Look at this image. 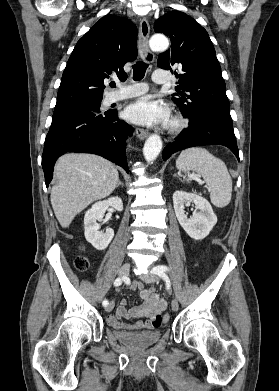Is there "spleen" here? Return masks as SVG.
<instances>
[{
  "mask_svg": "<svg viewBox=\"0 0 279 391\" xmlns=\"http://www.w3.org/2000/svg\"><path fill=\"white\" fill-rule=\"evenodd\" d=\"M179 172L194 171L204 178L213 205L227 206L232 196V179L225 163L202 147H191L181 152L176 160ZM189 181V180H188Z\"/></svg>",
  "mask_w": 279,
  "mask_h": 391,
  "instance_id": "spleen-1",
  "label": "spleen"
}]
</instances>
